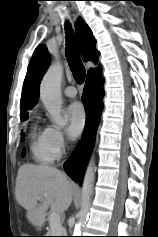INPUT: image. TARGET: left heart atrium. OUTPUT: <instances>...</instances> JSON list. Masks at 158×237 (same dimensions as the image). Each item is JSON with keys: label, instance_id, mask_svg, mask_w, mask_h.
<instances>
[{"label": "left heart atrium", "instance_id": "39dd6f15", "mask_svg": "<svg viewBox=\"0 0 158 237\" xmlns=\"http://www.w3.org/2000/svg\"><path fill=\"white\" fill-rule=\"evenodd\" d=\"M65 117L67 119V131L69 136L71 138L78 137L86 122V115L82 105L78 102L70 104L65 111Z\"/></svg>", "mask_w": 158, "mask_h": 237}]
</instances>
